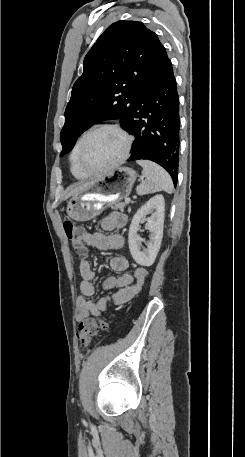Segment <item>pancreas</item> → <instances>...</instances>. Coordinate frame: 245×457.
I'll return each mask as SVG.
<instances>
[{
	"label": "pancreas",
	"instance_id": "pancreas-1",
	"mask_svg": "<svg viewBox=\"0 0 245 457\" xmlns=\"http://www.w3.org/2000/svg\"><path fill=\"white\" fill-rule=\"evenodd\" d=\"M126 204L127 202H118V200H115V202H111L109 206H111V208H120V210H124V206H126Z\"/></svg>",
	"mask_w": 245,
	"mask_h": 457
}]
</instances>
